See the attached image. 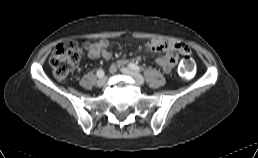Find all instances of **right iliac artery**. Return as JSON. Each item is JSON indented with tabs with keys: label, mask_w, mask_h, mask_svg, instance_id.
<instances>
[{
	"label": "right iliac artery",
	"mask_w": 258,
	"mask_h": 158,
	"mask_svg": "<svg viewBox=\"0 0 258 158\" xmlns=\"http://www.w3.org/2000/svg\"><path fill=\"white\" fill-rule=\"evenodd\" d=\"M97 76H98L99 78H102V77L104 76V71H103L102 69H99V70L97 71Z\"/></svg>",
	"instance_id": "right-iliac-artery-1"
}]
</instances>
